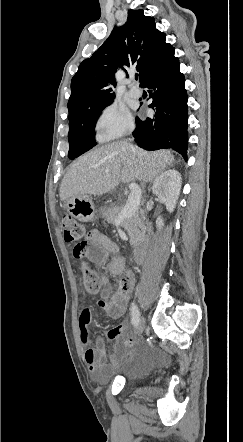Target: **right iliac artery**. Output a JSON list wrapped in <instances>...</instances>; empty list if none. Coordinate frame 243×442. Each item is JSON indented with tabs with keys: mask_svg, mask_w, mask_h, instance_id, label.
I'll list each match as a JSON object with an SVG mask.
<instances>
[{
	"mask_svg": "<svg viewBox=\"0 0 243 442\" xmlns=\"http://www.w3.org/2000/svg\"><path fill=\"white\" fill-rule=\"evenodd\" d=\"M130 311H131V316H132L131 322L133 325H137V323L139 321V310L134 303L131 304Z\"/></svg>",
	"mask_w": 243,
	"mask_h": 442,
	"instance_id": "right-iliac-artery-1",
	"label": "right iliac artery"
}]
</instances>
